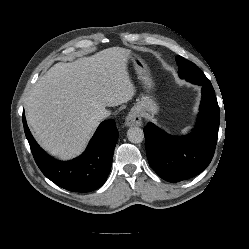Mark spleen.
Instances as JSON below:
<instances>
[{"mask_svg":"<svg viewBox=\"0 0 249 249\" xmlns=\"http://www.w3.org/2000/svg\"><path fill=\"white\" fill-rule=\"evenodd\" d=\"M190 129V127H186L183 129V132H187Z\"/></svg>","mask_w":249,"mask_h":249,"instance_id":"3e777b00","label":"spleen"}]
</instances>
